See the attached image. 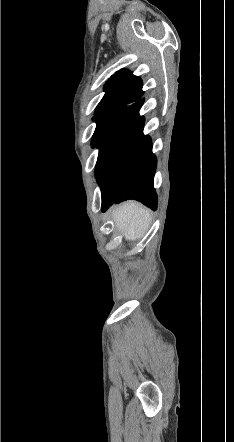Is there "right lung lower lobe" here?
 <instances>
[{
    "instance_id": "98d812e1",
    "label": "right lung lower lobe",
    "mask_w": 234,
    "mask_h": 442,
    "mask_svg": "<svg viewBox=\"0 0 234 442\" xmlns=\"http://www.w3.org/2000/svg\"><path fill=\"white\" fill-rule=\"evenodd\" d=\"M140 99L117 114L98 143L96 178L102 192V211L113 203L136 199L156 210L153 187L157 159L152 142L143 134L144 118Z\"/></svg>"
}]
</instances>
